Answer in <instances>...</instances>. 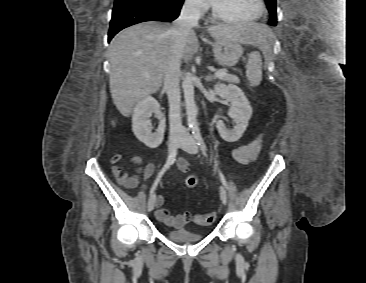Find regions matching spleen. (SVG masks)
<instances>
[{
  "label": "spleen",
  "instance_id": "1",
  "mask_svg": "<svg viewBox=\"0 0 366 283\" xmlns=\"http://www.w3.org/2000/svg\"><path fill=\"white\" fill-rule=\"evenodd\" d=\"M261 66L262 63L260 53L257 51L250 53L246 65V77L250 83V86L252 87L259 85L262 80Z\"/></svg>",
  "mask_w": 366,
  "mask_h": 283
}]
</instances>
